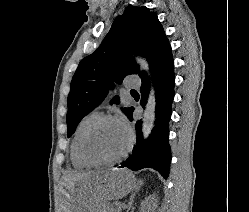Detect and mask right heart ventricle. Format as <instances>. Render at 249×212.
Instances as JSON below:
<instances>
[{
    "mask_svg": "<svg viewBox=\"0 0 249 212\" xmlns=\"http://www.w3.org/2000/svg\"><path fill=\"white\" fill-rule=\"evenodd\" d=\"M98 116V113L96 111H91L87 113L78 123L76 126L71 141L69 145V161L71 166L74 169L77 170H82L87 167L86 164H84L79 156H78V151H77V145H78V140L80 138V135L83 131V129L87 126L88 123H90L95 117Z\"/></svg>",
    "mask_w": 249,
    "mask_h": 212,
    "instance_id": "1",
    "label": "right heart ventricle"
}]
</instances>
